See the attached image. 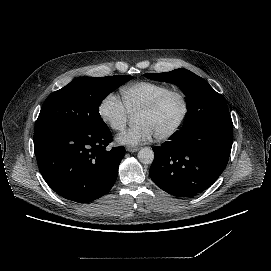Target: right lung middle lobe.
I'll list each match as a JSON object with an SVG mask.
<instances>
[{
    "mask_svg": "<svg viewBox=\"0 0 271 271\" xmlns=\"http://www.w3.org/2000/svg\"><path fill=\"white\" fill-rule=\"evenodd\" d=\"M131 78L130 75H116L74 79L46 99L35 129L48 124H66L83 128L104 124L98 111L101 101Z\"/></svg>",
    "mask_w": 271,
    "mask_h": 271,
    "instance_id": "right-lung-middle-lobe-1",
    "label": "right lung middle lobe"
}]
</instances>
